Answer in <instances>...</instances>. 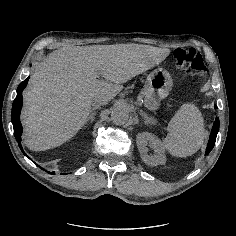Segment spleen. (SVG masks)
Wrapping results in <instances>:
<instances>
[{"mask_svg":"<svg viewBox=\"0 0 236 236\" xmlns=\"http://www.w3.org/2000/svg\"><path fill=\"white\" fill-rule=\"evenodd\" d=\"M165 147L174 156L186 157L196 153L204 142L207 131L199 109L191 103L183 104L168 124Z\"/></svg>","mask_w":236,"mask_h":236,"instance_id":"obj_1","label":"spleen"}]
</instances>
